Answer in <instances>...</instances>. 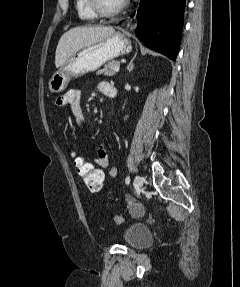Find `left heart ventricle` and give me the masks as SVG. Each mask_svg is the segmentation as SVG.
Returning <instances> with one entry per match:
<instances>
[{"label": "left heart ventricle", "mask_w": 240, "mask_h": 287, "mask_svg": "<svg viewBox=\"0 0 240 287\" xmlns=\"http://www.w3.org/2000/svg\"><path fill=\"white\" fill-rule=\"evenodd\" d=\"M123 0H101L102 6L105 9H114L116 8Z\"/></svg>", "instance_id": "1"}]
</instances>
